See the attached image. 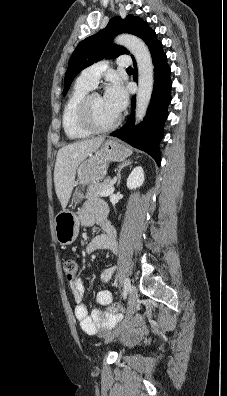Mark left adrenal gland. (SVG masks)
Here are the masks:
<instances>
[{"mask_svg": "<svg viewBox=\"0 0 227 396\" xmlns=\"http://www.w3.org/2000/svg\"><path fill=\"white\" fill-rule=\"evenodd\" d=\"M131 163H132L131 160H127V161H125V162H123V163L118 165V168H117V171H118L117 172V187L120 186V183H121V170L124 167L131 165Z\"/></svg>", "mask_w": 227, "mask_h": 396, "instance_id": "left-adrenal-gland-1", "label": "left adrenal gland"}]
</instances>
